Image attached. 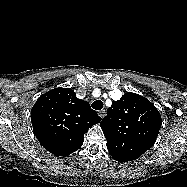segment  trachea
I'll return each mask as SVG.
<instances>
[{"label":"trachea","instance_id":"obj_1","mask_svg":"<svg viewBox=\"0 0 187 187\" xmlns=\"http://www.w3.org/2000/svg\"><path fill=\"white\" fill-rule=\"evenodd\" d=\"M92 108L95 109V110H101L103 108V102L101 100H95L93 103H92Z\"/></svg>","mask_w":187,"mask_h":187}]
</instances>
